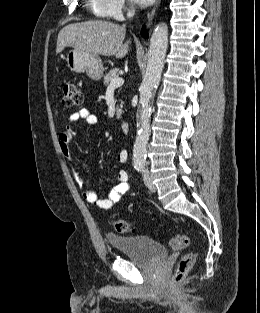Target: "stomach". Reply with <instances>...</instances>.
I'll list each match as a JSON object with an SVG mask.
<instances>
[{
  "instance_id": "1",
  "label": "stomach",
  "mask_w": 260,
  "mask_h": 313,
  "mask_svg": "<svg viewBox=\"0 0 260 313\" xmlns=\"http://www.w3.org/2000/svg\"><path fill=\"white\" fill-rule=\"evenodd\" d=\"M66 63L71 71L76 73L86 72L93 80H100L103 76L104 67L101 59L92 53L73 49L66 56Z\"/></svg>"
}]
</instances>
